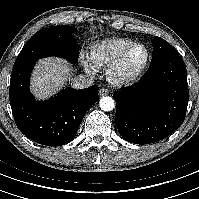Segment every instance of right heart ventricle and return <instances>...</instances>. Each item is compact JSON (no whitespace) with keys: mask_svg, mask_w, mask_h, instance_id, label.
<instances>
[{"mask_svg":"<svg viewBox=\"0 0 199 199\" xmlns=\"http://www.w3.org/2000/svg\"><path fill=\"white\" fill-rule=\"evenodd\" d=\"M133 43H135L134 40L124 37L99 41L90 47V60L96 68H108L119 54Z\"/></svg>","mask_w":199,"mask_h":199,"instance_id":"1","label":"right heart ventricle"}]
</instances>
